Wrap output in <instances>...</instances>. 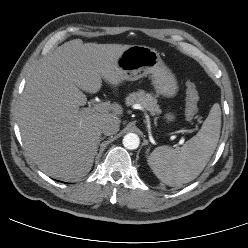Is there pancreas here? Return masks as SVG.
Listing matches in <instances>:
<instances>
[{
    "label": "pancreas",
    "mask_w": 248,
    "mask_h": 248,
    "mask_svg": "<svg viewBox=\"0 0 248 248\" xmlns=\"http://www.w3.org/2000/svg\"><path fill=\"white\" fill-rule=\"evenodd\" d=\"M134 103L141 104L151 115H158L161 113V109L157 104V100L149 93H145L143 90L130 93L126 98V104L132 105Z\"/></svg>",
    "instance_id": "cf45deb5"
}]
</instances>
